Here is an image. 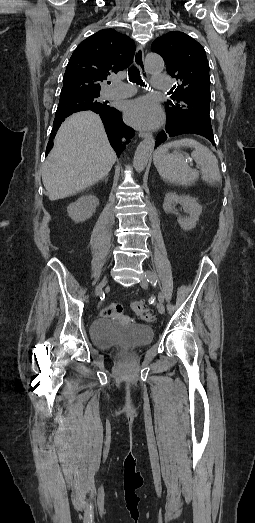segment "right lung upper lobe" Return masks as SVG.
I'll use <instances>...</instances> for the list:
<instances>
[{
    "instance_id": "cb5924a9",
    "label": "right lung upper lobe",
    "mask_w": 255,
    "mask_h": 523,
    "mask_svg": "<svg viewBox=\"0 0 255 523\" xmlns=\"http://www.w3.org/2000/svg\"><path fill=\"white\" fill-rule=\"evenodd\" d=\"M135 49L132 39L114 29L98 31L82 41L73 52L63 77L61 92L99 93L107 77L129 66ZM84 110L100 115L110 144L117 156H120L126 147L122 138H126L128 143L134 136V130L124 124L119 110L97 100H90V107L87 109L75 108L73 101L60 100L46 153L53 147L56 131L65 118Z\"/></svg>"
}]
</instances>
